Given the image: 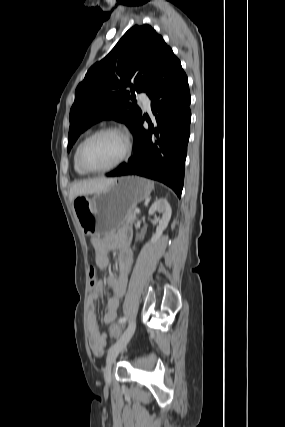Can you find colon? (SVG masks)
I'll use <instances>...</instances> for the list:
<instances>
[{"instance_id":"obj_1","label":"colon","mask_w":285,"mask_h":427,"mask_svg":"<svg viewBox=\"0 0 285 427\" xmlns=\"http://www.w3.org/2000/svg\"><path fill=\"white\" fill-rule=\"evenodd\" d=\"M88 280H89V287L92 289L97 284V273L94 267H90L88 271ZM111 334L114 337H118L120 335V328L117 326H114L111 329Z\"/></svg>"}]
</instances>
